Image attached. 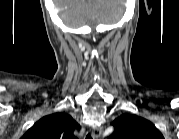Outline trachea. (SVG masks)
Returning <instances> with one entry per match:
<instances>
[{
	"label": "trachea",
	"instance_id": "1",
	"mask_svg": "<svg viewBox=\"0 0 179 139\" xmlns=\"http://www.w3.org/2000/svg\"><path fill=\"white\" fill-rule=\"evenodd\" d=\"M86 139H91L90 134H88V135L86 136Z\"/></svg>",
	"mask_w": 179,
	"mask_h": 139
}]
</instances>
